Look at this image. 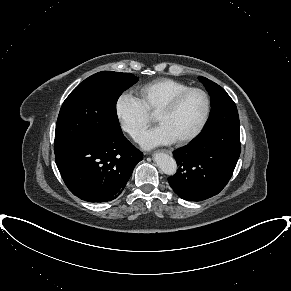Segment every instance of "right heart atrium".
<instances>
[{
    "label": "right heart atrium",
    "mask_w": 291,
    "mask_h": 291,
    "mask_svg": "<svg viewBox=\"0 0 291 291\" xmlns=\"http://www.w3.org/2000/svg\"><path fill=\"white\" fill-rule=\"evenodd\" d=\"M115 112L122 129L134 139H137L151 122L150 113L144 104L129 92L118 96Z\"/></svg>",
    "instance_id": "d8ad5b80"
}]
</instances>
